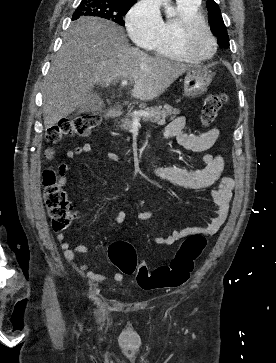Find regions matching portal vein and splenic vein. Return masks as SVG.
I'll return each mask as SVG.
<instances>
[{
  "label": "portal vein and splenic vein",
  "instance_id": "obj_1",
  "mask_svg": "<svg viewBox=\"0 0 276 363\" xmlns=\"http://www.w3.org/2000/svg\"><path fill=\"white\" fill-rule=\"evenodd\" d=\"M128 84V82L126 81V80H122L121 81V85L122 86H126ZM135 114H138V115H141V116H143V117H147V116H149L150 114L149 113H147L146 111H135L134 112ZM136 120H138V118H135Z\"/></svg>",
  "mask_w": 276,
  "mask_h": 363
}]
</instances>
